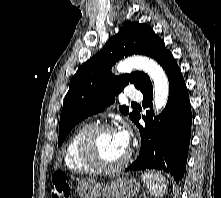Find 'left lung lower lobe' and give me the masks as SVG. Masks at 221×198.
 <instances>
[{"instance_id": "left-lung-lower-lobe-1", "label": "left lung lower lobe", "mask_w": 221, "mask_h": 198, "mask_svg": "<svg viewBox=\"0 0 221 198\" xmlns=\"http://www.w3.org/2000/svg\"><path fill=\"white\" fill-rule=\"evenodd\" d=\"M162 67L169 79V99L165 109L153 118V87L150 82L141 92L143 107H150L145 128L140 126V114L135 119L141 136V149L137 159L125 171L158 169L170 173L176 182L182 179L187 162L191 133V108L189 95L181 71L170 53Z\"/></svg>"}]
</instances>
